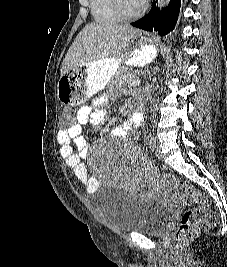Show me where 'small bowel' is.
<instances>
[{"instance_id":"1","label":"small bowel","mask_w":227,"mask_h":267,"mask_svg":"<svg viewBox=\"0 0 227 267\" xmlns=\"http://www.w3.org/2000/svg\"><path fill=\"white\" fill-rule=\"evenodd\" d=\"M103 102L98 101L97 105ZM104 118V112L93 106H83L79 108L76 114L75 122L67 129L59 130L57 133V142L60 145V154L66 161L75 176L84 185L88 193H95L99 186V181L91 173H89L86 165L82 162V158L88 153V145L83 136V125L91 123L94 126L101 124ZM143 122L141 114H133L124 120L122 125L115 130V135L125 136L131 131L137 130ZM73 145L77 148L74 151Z\"/></svg>"}]
</instances>
